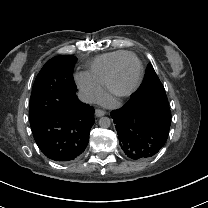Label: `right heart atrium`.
I'll return each instance as SVG.
<instances>
[{
  "instance_id": "right-heart-atrium-1",
  "label": "right heart atrium",
  "mask_w": 208,
  "mask_h": 208,
  "mask_svg": "<svg viewBox=\"0 0 208 208\" xmlns=\"http://www.w3.org/2000/svg\"><path fill=\"white\" fill-rule=\"evenodd\" d=\"M76 80L80 85L87 99L91 101H101L104 97L103 89L97 85L86 73H78Z\"/></svg>"
}]
</instances>
